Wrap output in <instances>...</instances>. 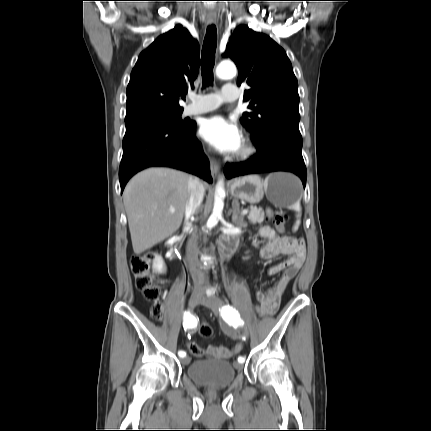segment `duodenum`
I'll list each match as a JSON object with an SVG mask.
<instances>
[{
	"instance_id": "1",
	"label": "duodenum",
	"mask_w": 431,
	"mask_h": 431,
	"mask_svg": "<svg viewBox=\"0 0 431 431\" xmlns=\"http://www.w3.org/2000/svg\"><path fill=\"white\" fill-rule=\"evenodd\" d=\"M236 246H237L236 238H231V237L224 238L220 246L222 255L225 257L231 256Z\"/></svg>"
}]
</instances>
